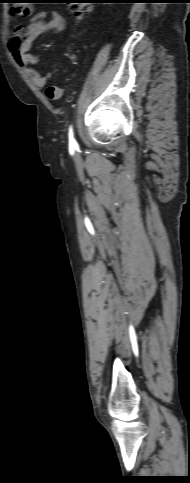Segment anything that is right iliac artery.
<instances>
[{
    "instance_id": "82829eb1",
    "label": "right iliac artery",
    "mask_w": 190,
    "mask_h": 483,
    "mask_svg": "<svg viewBox=\"0 0 190 483\" xmlns=\"http://www.w3.org/2000/svg\"><path fill=\"white\" fill-rule=\"evenodd\" d=\"M69 144H70V146H75L76 145V141L73 138L72 127H70V129H69Z\"/></svg>"
}]
</instances>
